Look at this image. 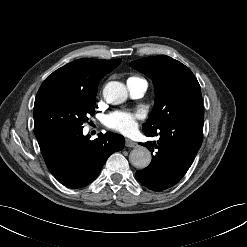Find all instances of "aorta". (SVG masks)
<instances>
[{"label":"aorta","instance_id":"aorta-1","mask_svg":"<svg viewBox=\"0 0 247 247\" xmlns=\"http://www.w3.org/2000/svg\"><path fill=\"white\" fill-rule=\"evenodd\" d=\"M103 96L108 103L118 105L126 101L128 93L123 83L111 81L104 87ZM129 160L134 167L144 169L151 162V153L147 148L139 146L130 152Z\"/></svg>","mask_w":247,"mask_h":247}]
</instances>
